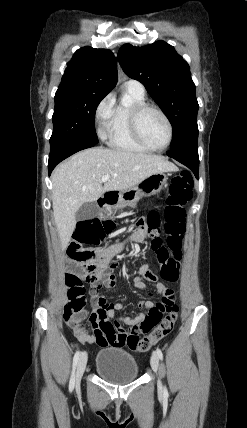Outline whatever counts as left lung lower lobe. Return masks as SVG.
<instances>
[{
	"label": "left lung lower lobe",
	"instance_id": "obj_1",
	"mask_svg": "<svg viewBox=\"0 0 247 428\" xmlns=\"http://www.w3.org/2000/svg\"><path fill=\"white\" fill-rule=\"evenodd\" d=\"M169 157L174 158L180 163L187 166L198 179L199 177V156H198V148H187L178 151L170 150L167 152Z\"/></svg>",
	"mask_w": 247,
	"mask_h": 428
}]
</instances>
